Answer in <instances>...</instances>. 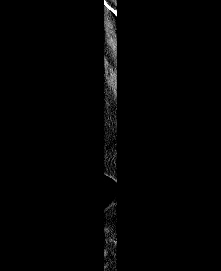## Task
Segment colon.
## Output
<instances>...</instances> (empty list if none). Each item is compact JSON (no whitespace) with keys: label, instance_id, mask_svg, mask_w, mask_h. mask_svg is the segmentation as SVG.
Wrapping results in <instances>:
<instances>
[{"label":"colon","instance_id":"5ec220e1","mask_svg":"<svg viewBox=\"0 0 221 271\" xmlns=\"http://www.w3.org/2000/svg\"><path fill=\"white\" fill-rule=\"evenodd\" d=\"M84 264L86 266H84ZM83 271H104V265L95 261L87 260L85 258H81L79 261V268Z\"/></svg>","mask_w":221,"mask_h":271}]
</instances>
